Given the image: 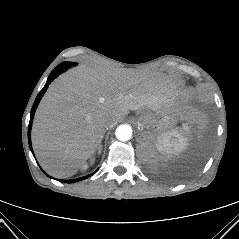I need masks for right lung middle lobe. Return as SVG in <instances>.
<instances>
[{"mask_svg": "<svg viewBox=\"0 0 239 239\" xmlns=\"http://www.w3.org/2000/svg\"><path fill=\"white\" fill-rule=\"evenodd\" d=\"M76 65L74 62H63L59 64L53 71L58 74L62 73L63 71L67 70L68 68Z\"/></svg>", "mask_w": 239, "mask_h": 239, "instance_id": "right-lung-middle-lobe-1", "label": "right lung middle lobe"}]
</instances>
